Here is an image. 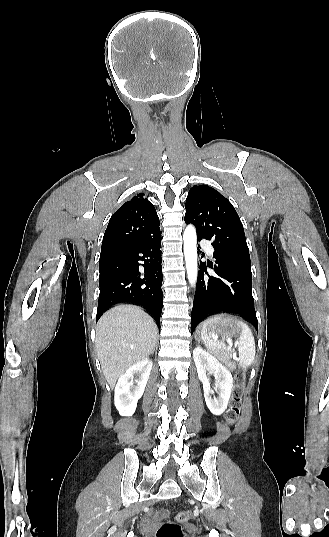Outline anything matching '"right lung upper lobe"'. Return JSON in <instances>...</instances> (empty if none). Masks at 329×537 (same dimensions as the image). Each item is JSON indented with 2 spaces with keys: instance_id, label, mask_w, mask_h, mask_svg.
<instances>
[{
  "instance_id": "1",
  "label": "right lung upper lobe",
  "mask_w": 329,
  "mask_h": 537,
  "mask_svg": "<svg viewBox=\"0 0 329 537\" xmlns=\"http://www.w3.org/2000/svg\"><path fill=\"white\" fill-rule=\"evenodd\" d=\"M159 218L143 194L124 203L111 217L104 233L101 254L130 248L160 232Z\"/></svg>"
}]
</instances>
